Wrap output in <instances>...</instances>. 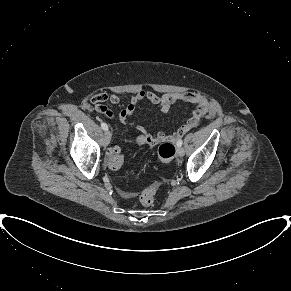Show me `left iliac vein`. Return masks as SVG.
<instances>
[{"instance_id":"left-iliac-vein-1","label":"left iliac vein","mask_w":291,"mask_h":291,"mask_svg":"<svg viewBox=\"0 0 291 291\" xmlns=\"http://www.w3.org/2000/svg\"><path fill=\"white\" fill-rule=\"evenodd\" d=\"M177 154H178L179 157L184 156V154H185L184 149L182 147H178Z\"/></svg>"}]
</instances>
